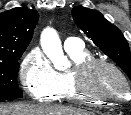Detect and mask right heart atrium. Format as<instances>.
I'll use <instances>...</instances> for the list:
<instances>
[{
	"mask_svg": "<svg viewBox=\"0 0 131 115\" xmlns=\"http://www.w3.org/2000/svg\"><path fill=\"white\" fill-rule=\"evenodd\" d=\"M20 81L25 92L40 102L54 99L61 86L59 74L39 48L31 49L23 57Z\"/></svg>",
	"mask_w": 131,
	"mask_h": 115,
	"instance_id": "obj_1",
	"label": "right heart atrium"
}]
</instances>
